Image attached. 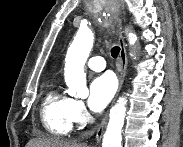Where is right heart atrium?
Masks as SVG:
<instances>
[{
	"label": "right heart atrium",
	"mask_w": 183,
	"mask_h": 147,
	"mask_svg": "<svg viewBox=\"0 0 183 147\" xmlns=\"http://www.w3.org/2000/svg\"><path fill=\"white\" fill-rule=\"evenodd\" d=\"M72 118L73 121L83 125L86 123L87 118H88V113L86 111V108L83 104V102L79 100H74L73 101V107H72Z\"/></svg>",
	"instance_id": "1"
}]
</instances>
